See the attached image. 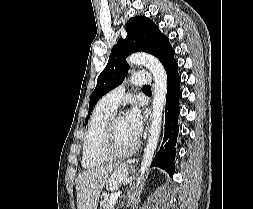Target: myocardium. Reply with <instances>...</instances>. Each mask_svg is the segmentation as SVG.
Listing matches in <instances>:
<instances>
[{"instance_id": "obj_1", "label": "myocardium", "mask_w": 253, "mask_h": 209, "mask_svg": "<svg viewBox=\"0 0 253 209\" xmlns=\"http://www.w3.org/2000/svg\"><path fill=\"white\" fill-rule=\"evenodd\" d=\"M122 117L118 113H114L110 116L107 122L104 125L101 139H100V152L110 158V159H122L132 155L138 149L139 143L135 141L134 145L125 150V151H118L114 147V134H113V127L115 122L118 118Z\"/></svg>"}]
</instances>
